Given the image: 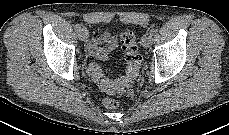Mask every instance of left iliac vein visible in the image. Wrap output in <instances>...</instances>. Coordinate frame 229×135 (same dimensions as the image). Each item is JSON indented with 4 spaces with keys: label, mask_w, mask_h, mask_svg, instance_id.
Instances as JSON below:
<instances>
[{
    "label": "left iliac vein",
    "mask_w": 229,
    "mask_h": 135,
    "mask_svg": "<svg viewBox=\"0 0 229 135\" xmlns=\"http://www.w3.org/2000/svg\"><path fill=\"white\" fill-rule=\"evenodd\" d=\"M152 41H153L152 35L149 34V33H147V34H145V35L142 37V41H141V42H142V45H143L145 48H148V47L151 46Z\"/></svg>",
    "instance_id": "4c4485c4"
}]
</instances>
